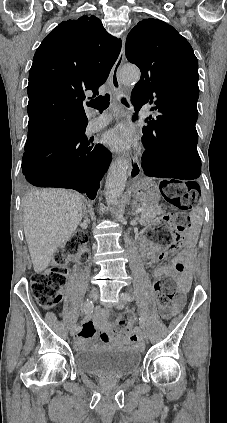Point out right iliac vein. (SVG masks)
<instances>
[{
    "label": "right iliac vein",
    "instance_id": "obj_1",
    "mask_svg": "<svg viewBox=\"0 0 227 423\" xmlns=\"http://www.w3.org/2000/svg\"><path fill=\"white\" fill-rule=\"evenodd\" d=\"M98 295H99V292L96 289H91L89 291V294H88L89 298H91V299L97 298ZM70 331H71V335L72 336H75L77 334V332H78V331H76L75 325L72 326V328L70 329Z\"/></svg>",
    "mask_w": 227,
    "mask_h": 423
}]
</instances>
